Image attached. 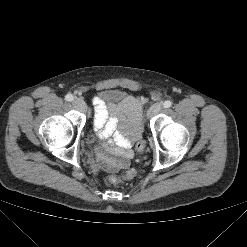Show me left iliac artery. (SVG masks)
Returning a JSON list of instances; mask_svg holds the SVG:
<instances>
[{
	"label": "left iliac artery",
	"instance_id": "44dca946",
	"mask_svg": "<svg viewBox=\"0 0 247 247\" xmlns=\"http://www.w3.org/2000/svg\"><path fill=\"white\" fill-rule=\"evenodd\" d=\"M163 106H164V108H169V107L172 106V102L169 101V100H166V101L163 103Z\"/></svg>",
	"mask_w": 247,
	"mask_h": 247
}]
</instances>
